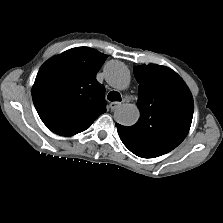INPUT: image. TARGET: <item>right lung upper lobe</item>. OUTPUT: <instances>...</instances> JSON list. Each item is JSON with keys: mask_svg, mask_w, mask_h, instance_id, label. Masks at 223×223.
<instances>
[{"mask_svg": "<svg viewBox=\"0 0 223 223\" xmlns=\"http://www.w3.org/2000/svg\"><path fill=\"white\" fill-rule=\"evenodd\" d=\"M107 57L89 47H76L41 66L32 99L48 129L72 136L89 128L106 111L105 88L96 74Z\"/></svg>", "mask_w": 223, "mask_h": 223, "instance_id": "right-lung-upper-lobe-1", "label": "right lung upper lobe"}]
</instances>
